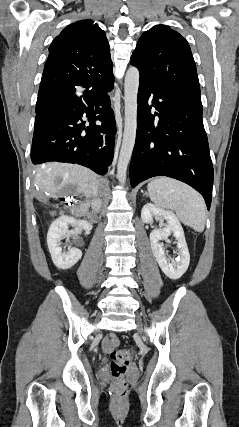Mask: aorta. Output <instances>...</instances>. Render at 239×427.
<instances>
[{
    "label": "aorta",
    "instance_id": "1",
    "mask_svg": "<svg viewBox=\"0 0 239 427\" xmlns=\"http://www.w3.org/2000/svg\"><path fill=\"white\" fill-rule=\"evenodd\" d=\"M139 77L136 67H130L127 70L124 86L125 127L117 164V178L121 184L126 182L127 167L136 139Z\"/></svg>",
    "mask_w": 239,
    "mask_h": 427
}]
</instances>
